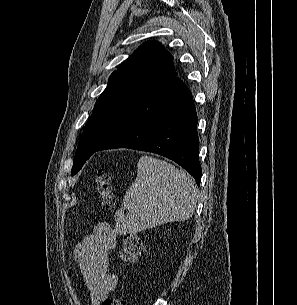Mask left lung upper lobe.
I'll return each mask as SVG.
<instances>
[{
  "label": "left lung upper lobe",
  "instance_id": "1",
  "mask_svg": "<svg viewBox=\"0 0 297 305\" xmlns=\"http://www.w3.org/2000/svg\"><path fill=\"white\" fill-rule=\"evenodd\" d=\"M176 76L173 56L156 41L141 45L109 78L80 137L73 159L75 175L104 142L128 106L152 83Z\"/></svg>",
  "mask_w": 297,
  "mask_h": 305
}]
</instances>
